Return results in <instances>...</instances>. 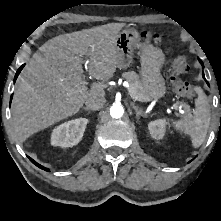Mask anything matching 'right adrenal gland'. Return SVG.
Here are the masks:
<instances>
[{"mask_svg": "<svg viewBox=\"0 0 221 221\" xmlns=\"http://www.w3.org/2000/svg\"><path fill=\"white\" fill-rule=\"evenodd\" d=\"M82 109L85 110V111H87L88 114H91V113H92V112H91L88 108H86V107H83Z\"/></svg>", "mask_w": 221, "mask_h": 221, "instance_id": "1", "label": "right adrenal gland"}]
</instances>
